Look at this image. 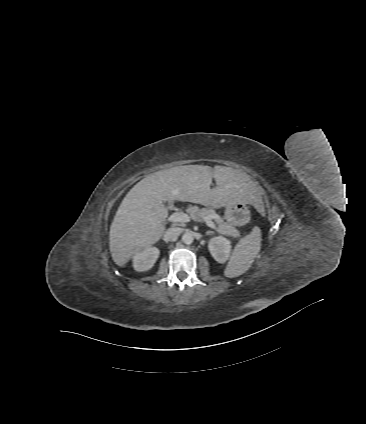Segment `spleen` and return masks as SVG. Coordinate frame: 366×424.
I'll return each mask as SVG.
<instances>
[{
    "label": "spleen",
    "instance_id": "1",
    "mask_svg": "<svg viewBox=\"0 0 366 424\" xmlns=\"http://www.w3.org/2000/svg\"><path fill=\"white\" fill-rule=\"evenodd\" d=\"M261 237L260 228L255 226L236 244L224 271L226 277L235 278L248 271L260 252Z\"/></svg>",
    "mask_w": 366,
    "mask_h": 424
}]
</instances>
